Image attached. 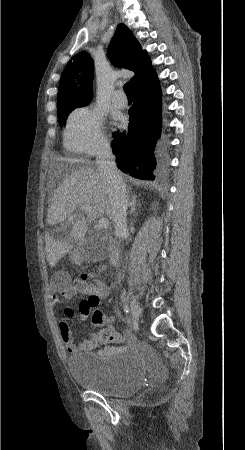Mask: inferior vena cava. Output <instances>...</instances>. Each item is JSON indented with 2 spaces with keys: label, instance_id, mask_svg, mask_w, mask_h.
I'll return each instance as SVG.
<instances>
[{
  "label": "inferior vena cava",
  "instance_id": "obj_1",
  "mask_svg": "<svg viewBox=\"0 0 245 450\" xmlns=\"http://www.w3.org/2000/svg\"><path fill=\"white\" fill-rule=\"evenodd\" d=\"M96 164L110 198L115 234L122 237L127 232V191L122 175L117 170L115 156L108 144L99 149Z\"/></svg>",
  "mask_w": 245,
  "mask_h": 450
}]
</instances>
